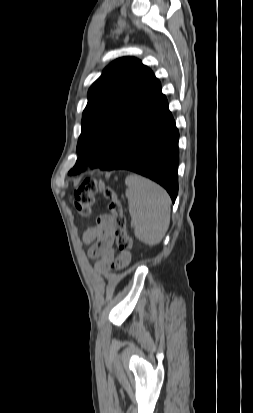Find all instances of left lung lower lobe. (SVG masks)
<instances>
[{"instance_id": "obj_1", "label": "left lung lower lobe", "mask_w": 253, "mask_h": 413, "mask_svg": "<svg viewBox=\"0 0 253 413\" xmlns=\"http://www.w3.org/2000/svg\"><path fill=\"white\" fill-rule=\"evenodd\" d=\"M120 142L102 170L125 169L162 185L174 202L178 193L179 132L165 95L158 89L148 105L120 128Z\"/></svg>"}]
</instances>
